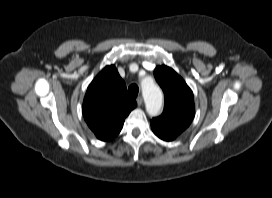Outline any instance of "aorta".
I'll return each mask as SVG.
<instances>
[{
	"label": "aorta",
	"mask_w": 272,
	"mask_h": 198,
	"mask_svg": "<svg viewBox=\"0 0 272 198\" xmlns=\"http://www.w3.org/2000/svg\"><path fill=\"white\" fill-rule=\"evenodd\" d=\"M142 94L147 113L150 116L158 115L163 105V94L161 89L153 81L142 83Z\"/></svg>",
	"instance_id": "obj_1"
}]
</instances>
